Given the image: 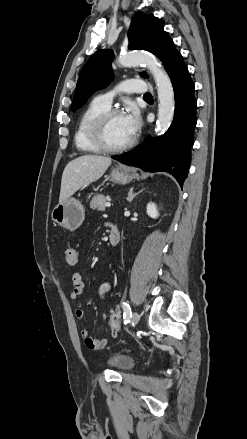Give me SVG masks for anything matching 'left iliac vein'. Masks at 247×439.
I'll return each mask as SVG.
<instances>
[{"instance_id":"left-iliac-vein-1","label":"left iliac vein","mask_w":247,"mask_h":439,"mask_svg":"<svg viewBox=\"0 0 247 439\" xmlns=\"http://www.w3.org/2000/svg\"><path fill=\"white\" fill-rule=\"evenodd\" d=\"M139 320H140V315L137 312H134L132 316V324L137 325Z\"/></svg>"}]
</instances>
